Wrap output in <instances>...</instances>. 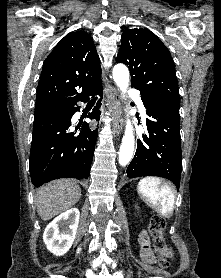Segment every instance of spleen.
Instances as JSON below:
<instances>
[{
  "label": "spleen",
  "instance_id": "spleen-1",
  "mask_svg": "<svg viewBox=\"0 0 221 278\" xmlns=\"http://www.w3.org/2000/svg\"><path fill=\"white\" fill-rule=\"evenodd\" d=\"M139 195L157 213L170 218L174 211L175 196L170 184L157 177H145L137 186Z\"/></svg>",
  "mask_w": 221,
  "mask_h": 278
}]
</instances>
